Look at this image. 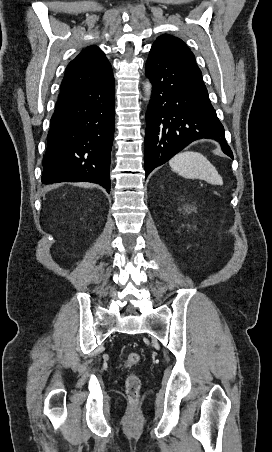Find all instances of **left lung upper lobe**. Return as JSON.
I'll list each match as a JSON object with an SVG mask.
<instances>
[{
  "mask_svg": "<svg viewBox=\"0 0 272 452\" xmlns=\"http://www.w3.org/2000/svg\"><path fill=\"white\" fill-rule=\"evenodd\" d=\"M152 47L165 48L196 65L193 53L186 44L177 37L168 34L161 35L157 38Z\"/></svg>",
  "mask_w": 272,
  "mask_h": 452,
  "instance_id": "1",
  "label": "left lung upper lobe"
}]
</instances>
